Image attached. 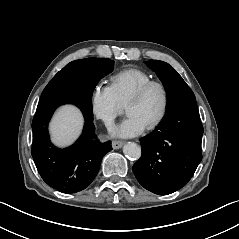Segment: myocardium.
I'll return each mask as SVG.
<instances>
[{
  "label": "myocardium",
  "instance_id": "obj_1",
  "mask_svg": "<svg viewBox=\"0 0 239 239\" xmlns=\"http://www.w3.org/2000/svg\"><path fill=\"white\" fill-rule=\"evenodd\" d=\"M153 87H158L161 89L163 94V107L158 117L147 126V129L149 130H153L157 128L158 126H160L168 115V112L170 109V93H169V89L167 85L160 80H150L149 82L140 86L131 95L128 102L126 103V108H127L129 104L142 100L144 96L148 93V91Z\"/></svg>",
  "mask_w": 239,
  "mask_h": 239
}]
</instances>
